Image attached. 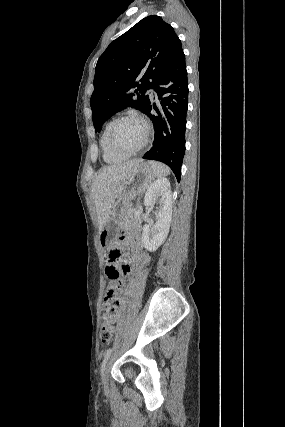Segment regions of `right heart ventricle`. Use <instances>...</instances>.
Returning a JSON list of instances; mask_svg holds the SVG:
<instances>
[{
  "instance_id": "obj_1",
  "label": "right heart ventricle",
  "mask_w": 285,
  "mask_h": 427,
  "mask_svg": "<svg viewBox=\"0 0 285 427\" xmlns=\"http://www.w3.org/2000/svg\"><path fill=\"white\" fill-rule=\"evenodd\" d=\"M111 122L112 121H109L105 125V127H104V129H103V131L101 133L100 147H101V150H102V156H103L104 161L106 163H109V164H117V163H121V162L125 161L128 158V156H124V155L118 154V153L114 152L109 147V144H108V141H107V133H108V129H109V126H110Z\"/></svg>"
}]
</instances>
